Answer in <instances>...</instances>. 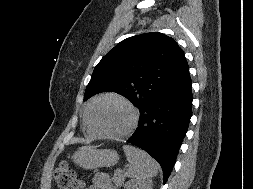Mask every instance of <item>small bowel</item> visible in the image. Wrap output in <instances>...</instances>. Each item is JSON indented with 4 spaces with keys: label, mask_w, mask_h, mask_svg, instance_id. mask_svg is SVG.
Here are the masks:
<instances>
[{
    "label": "small bowel",
    "mask_w": 253,
    "mask_h": 189,
    "mask_svg": "<svg viewBox=\"0 0 253 189\" xmlns=\"http://www.w3.org/2000/svg\"><path fill=\"white\" fill-rule=\"evenodd\" d=\"M89 189H115L109 175L104 172L96 173L92 178V185Z\"/></svg>",
    "instance_id": "small-bowel-1"
}]
</instances>
